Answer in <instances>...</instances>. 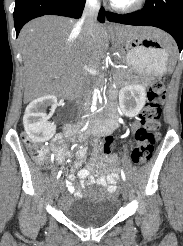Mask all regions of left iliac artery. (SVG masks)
Masks as SVG:
<instances>
[{
  "mask_svg": "<svg viewBox=\"0 0 183 246\" xmlns=\"http://www.w3.org/2000/svg\"><path fill=\"white\" fill-rule=\"evenodd\" d=\"M121 176H122L123 181H126V176H125L123 169H121Z\"/></svg>",
  "mask_w": 183,
  "mask_h": 246,
  "instance_id": "left-iliac-artery-1",
  "label": "left iliac artery"
}]
</instances>
